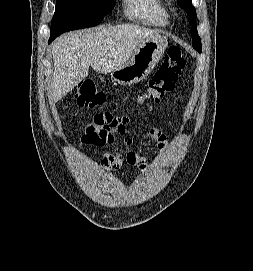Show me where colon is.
<instances>
[{"instance_id": "1", "label": "colon", "mask_w": 253, "mask_h": 271, "mask_svg": "<svg viewBox=\"0 0 253 271\" xmlns=\"http://www.w3.org/2000/svg\"><path fill=\"white\" fill-rule=\"evenodd\" d=\"M184 67L185 59L180 48L171 46L159 69L149 81L147 88L138 98L155 103L160 102L167 94L172 92ZM106 99V94L98 91L92 81L85 80L79 85L76 94L78 104L86 107H98L102 106Z\"/></svg>"}]
</instances>
